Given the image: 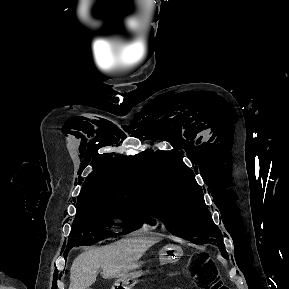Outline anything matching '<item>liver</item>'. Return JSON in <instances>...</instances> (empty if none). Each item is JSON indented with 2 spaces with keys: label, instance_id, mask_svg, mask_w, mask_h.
I'll return each mask as SVG.
<instances>
[{
  "label": "liver",
  "instance_id": "6515ba94",
  "mask_svg": "<svg viewBox=\"0 0 289 289\" xmlns=\"http://www.w3.org/2000/svg\"><path fill=\"white\" fill-rule=\"evenodd\" d=\"M157 241L127 238L80 254L71 266L69 289H88L102 269L104 279L119 278L136 268L138 260Z\"/></svg>",
  "mask_w": 289,
  "mask_h": 289
}]
</instances>
